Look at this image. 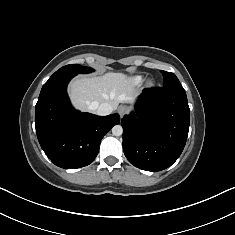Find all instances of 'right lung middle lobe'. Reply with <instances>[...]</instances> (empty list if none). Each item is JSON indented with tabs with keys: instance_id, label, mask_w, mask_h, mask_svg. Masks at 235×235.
I'll use <instances>...</instances> for the list:
<instances>
[{
	"instance_id": "obj_1",
	"label": "right lung middle lobe",
	"mask_w": 235,
	"mask_h": 235,
	"mask_svg": "<svg viewBox=\"0 0 235 235\" xmlns=\"http://www.w3.org/2000/svg\"><path fill=\"white\" fill-rule=\"evenodd\" d=\"M93 69L89 67H84L78 64H71L66 65L56 71L52 76L59 75V74H79V73H89L92 72Z\"/></svg>"
}]
</instances>
